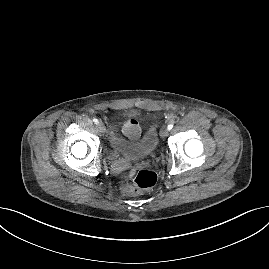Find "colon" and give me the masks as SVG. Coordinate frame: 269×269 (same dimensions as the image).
I'll return each instance as SVG.
<instances>
[{"instance_id": "colon-1", "label": "colon", "mask_w": 269, "mask_h": 269, "mask_svg": "<svg viewBox=\"0 0 269 269\" xmlns=\"http://www.w3.org/2000/svg\"><path fill=\"white\" fill-rule=\"evenodd\" d=\"M157 182V174L152 170H141L134 178L132 185H128L125 191L129 194H137L143 190L152 188Z\"/></svg>"}]
</instances>
